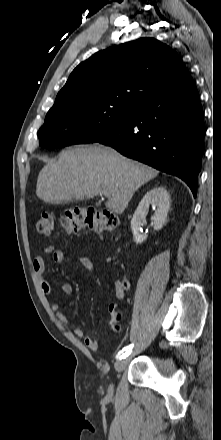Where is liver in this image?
Listing matches in <instances>:
<instances>
[{
  "instance_id": "1",
  "label": "liver",
  "mask_w": 221,
  "mask_h": 440,
  "mask_svg": "<svg viewBox=\"0 0 221 440\" xmlns=\"http://www.w3.org/2000/svg\"><path fill=\"white\" fill-rule=\"evenodd\" d=\"M158 175L152 167L138 163L102 145L78 146L59 154L40 171L36 195L45 203L61 204L91 199L106 191V208L121 214L134 192Z\"/></svg>"
}]
</instances>
